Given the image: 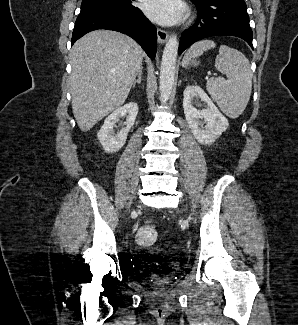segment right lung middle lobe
Segmentation results:
<instances>
[{
    "mask_svg": "<svg viewBox=\"0 0 298 325\" xmlns=\"http://www.w3.org/2000/svg\"><path fill=\"white\" fill-rule=\"evenodd\" d=\"M133 7L130 0H82L81 13Z\"/></svg>",
    "mask_w": 298,
    "mask_h": 325,
    "instance_id": "dd1d6c3e",
    "label": "right lung middle lobe"
}]
</instances>
